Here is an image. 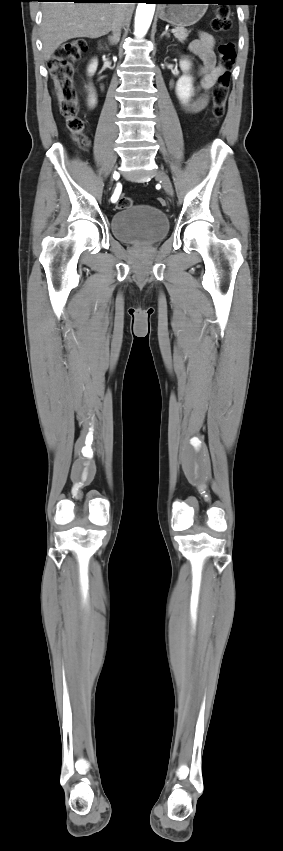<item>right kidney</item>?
<instances>
[{
    "label": "right kidney",
    "mask_w": 283,
    "mask_h": 851,
    "mask_svg": "<svg viewBox=\"0 0 283 851\" xmlns=\"http://www.w3.org/2000/svg\"><path fill=\"white\" fill-rule=\"evenodd\" d=\"M97 66H98L97 59H93L92 62L90 63V65L88 66V69H87L89 76H92L96 72ZM96 103H97L96 94H95L94 90L91 88V93H90L89 98H88V105H89L90 108H93V107H95Z\"/></svg>",
    "instance_id": "obj_1"
}]
</instances>
